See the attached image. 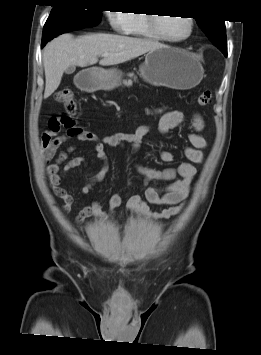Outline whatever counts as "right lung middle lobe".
I'll use <instances>...</instances> for the list:
<instances>
[{"label": "right lung middle lobe", "instance_id": "1", "mask_svg": "<svg viewBox=\"0 0 261 355\" xmlns=\"http://www.w3.org/2000/svg\"><path fill=\"white\" fill-rule=\"evenodd\" d=\"M102 10L90 0H66L55 3L44 28L61 23H75L85 27L97 26Z\"/></svg>", "mask_w": 261, "mask_h": 355}]
</instances>
